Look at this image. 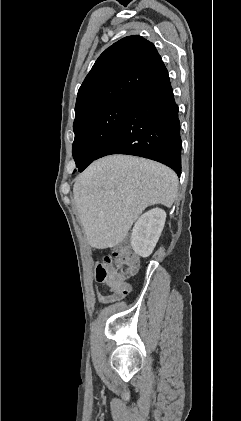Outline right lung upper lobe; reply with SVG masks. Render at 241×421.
Instances as JSON below:
<instances>
[{"mask_svg":"<svg viewBox=\"0 0 241 421\" xmlns=\"http://www.w3.org/2000/svg\"><path fill=\"white\" fill-rule=\"evenodd\" d=\"M153 43L127 36L96 60L78 91L75 119L109 104L131 100L165 70Z\"/></svg>","mask_w":241,"mask_h":421,"instance_id":"1","label":"right lung upper lobe"}]
</instances>
